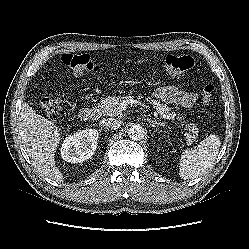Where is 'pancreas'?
Instances as JSON below:
<instances>
[{
    "label": "pancreas",
    "mask_w": 249,
    "mask_h": 249,
    "mask_svg": "<svg viewBox=\"0 0 249 249\" xmlns=\"http://www.w3.org/2000/svg\"><path fill=\"white\" fill-rule=\"evenodd\" d=\"M124 99L125 98L121 96L107 97L102 100L101 105H99L98 108L106 116H119L121 115L119 104ZM149 102L153 105V109L156 110V113L159 114L160 117L172 120L176 117V114L171 111V108L160 101L153 99L149 100ZM184 129L188 131L185 133L186 143L191 144L198 137V128L195 124L191 123L185 125Z\"/></svg>",
    "instance_id": "1"
}]
</instances>
